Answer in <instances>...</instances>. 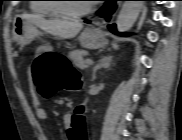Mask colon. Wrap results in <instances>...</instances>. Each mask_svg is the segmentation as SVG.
I'll return each instance as SVG.
<instances>
[{
	"label": "colon",
	"mask_w": 182,
	"mask_h": 140,
	"mask_svg": "<svg viewBox=\"0 0 182 140\" xmlns=\"http://www.w3.org/2000/svg\"><path fill=\"white\" fill-rule=\"evenodd\" d=\"M31 74L38 94L50 98L58 91H78L81 82L77 71L64 56H38L32 66ZM69 140H88V117L84 102L78 104L70 116L67 128Z\"/></svg>",
	"instance_id": "1"
}]
</instances>
